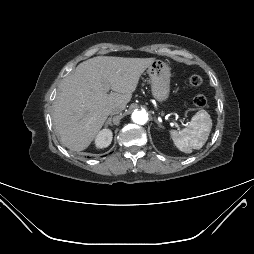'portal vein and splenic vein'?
Returning a JSON list of instances; mask_svg holds the SVG:
<instances>
[{
    "mask_svg": "<svg viewBox=\"0 0 254 254\" xmlns=\"http://www.w3.org/2000/svg\"><path fill=\"white\" fill-rule=\"evenodd\" d=\"M109 89H110L109 87L106 88L107 91H109Z\"/></svg>",
    "mask_w": 254,
    "mask_h": 254,
    "instance_id": "1",
    "label": "portal vein and splenic vein"
}]
</instances>
